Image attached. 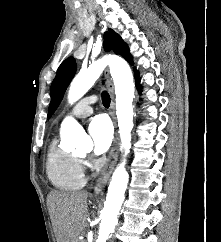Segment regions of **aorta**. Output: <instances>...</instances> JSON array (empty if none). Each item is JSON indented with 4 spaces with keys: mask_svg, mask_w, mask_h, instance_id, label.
<instances>
[{
    "mask_svg": "<svg viewBox=\"0 0 221 242\" xmlns=\"http://www.w3.org/2000/svg\"><path fill=\"white\" fill-rule=\"evenodd\" d=\"M110 67L116 94V115L121 137V149L125 156L131 148V131L133 128V98L135 84L128 63L118 56L103 57L86 70L75 76L70 84L68 102L74 104L94 85L106 66ZM61 135L71 150L88 151L92 147L91 138L83 128L71 117L66 118L61 126ZM125 159L115 169L108 187L106 201L101 213V223L96 242H106L118 222V214L124 201V194L129 181L125 169Z\"/></svg>",
    "mask_w": 221,
    "mask_h": 242,
    "instance_id": "obj_1",
    "label": "aorta"
}]
</instances>
